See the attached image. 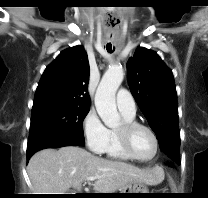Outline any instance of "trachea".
<instances>
[{"label":"trachea","instance_id":"3493384b","mask_svg":"<svg viewBox=\"0 0 208 198\" xmlns=\"http://www.w3.org/2000/svg\"><path fill=\"white\" fill-rule=\"evenodd\" d=\"M106 49H107L108 52H111L112 51V46L111 47L110 46H106ZM113 51H114V49H113Z\"/></svg>","mask_w":208,"mask_h":198}]
</instances>
